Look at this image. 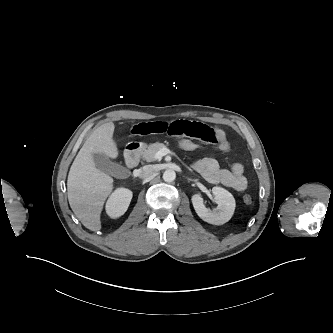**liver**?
Instances as JSON below:
<instances>
[{
  "label": "liver",
  "mask_w": 333,
  "mask_h": 333,
  "mask_svg": "<svg viewBox=\"0 0 333 333\" xmlns=\"http://www.w3.org/2000/svg\"><path fill=\"white\" fill-rule=\"evenodd\" d=\"M114 129L112 122L96 128L78 152L68 174L70 207L82 224L92 231L101 229V211L113 190V178L95 166L93 153H103L113 159L118 156Z\"/></svg>",
  "instance_id": "liver-1"
}]
</instances>
